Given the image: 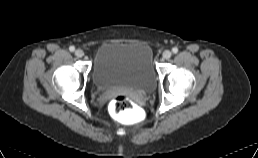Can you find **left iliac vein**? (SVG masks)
Segmentation results:
<instances>
[{"mask_svg":"<svg viewBox=\"0 0 258 158\" xmlns=\"http://www.w3.org/2000/svg\"><path fill=\"white\" fill-rule=\"evenodd\" d=\"M172 53L169 50H165L162 54L164 59H169L171 57Z\"/></svg>","mask_w":258,"mask_h":158,"instance_id":"obj_1","label":"left iliac vein"}]
</instances>
